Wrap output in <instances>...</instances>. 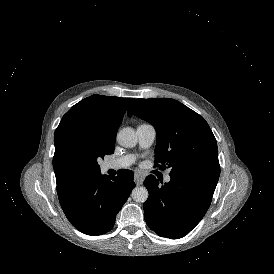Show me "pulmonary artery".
<instances>
[{
    "label": "pulmonary artery",
    "mask_w": 274,
    "mask_h": 274,
    "mask_svg": "<svg viewBox=\"0 0 274 274\" xmlns=\"http://www.w3.org/2000/svg\"><path fill=\"white\" fill-rule=\"evenodd\" d=\"M137 137H138V144L140 149H147L149 148L156 136V131L154 127L150 124H140L137 129ZM137 155L135 154H127L123 157L112 159L105 162V169L106 170H120L125 169L135 163ZM164 181L169 183L171 181V176L167 173L164 177Z\"/></svg>",
    "instance_id": "e3ab8cb5"
}]
</instances>
